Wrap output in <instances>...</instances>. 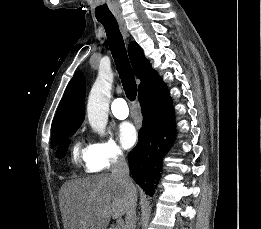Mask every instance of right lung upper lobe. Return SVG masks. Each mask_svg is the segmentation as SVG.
<instances>
[{
    "label": "right lung upper lobe",
    "mask_w": 261,
    "mask_h": 229,
    "mask_svg": "<svg viewBox=\"0 0 261 229\" xmlns=\"http://www.w3.org/2000/svg\"><path fill=\"white\" fill-rule=\"evenodd\" d=\"M129 57L135 75L141 80L139 93L148 89L161 78L152 69L149 61L144 57L143 51L136 42H131L128 47ZM85 80L81 72L76 73L69 82L58 110L53 120L51 147L61 144L53 130L63 125H81L84 120Z\"/></svg>",
    "instance_id": "right-lung-upper-lobe-1"
}]
</instances>
